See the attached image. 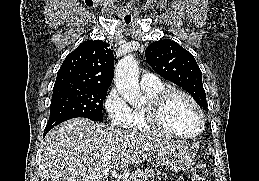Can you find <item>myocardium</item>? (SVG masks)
I'll return each instance as SVG.
<instances>
[{"label":"myocardium","mask_w":259,"mask_h":181,"mask_svg":"<svg viewBox=\"0 0 259 181\" xmlns=\"http://www.w3.org/2000/svg\"><path fill=\"white\" fill-rule=\"evenodd\" d=\"M174 96H181L185 98L195 108L200 119V127L196 133L188 135L180 134L168 128L164 123L163 115L165 108L169 100ZM146 113L148 116L149 123L156 131L178 139L197 138L203 133L205 129V116L200 105L189 93L175 87H166L159 93H157L152 99H150L146 106Z\"/></svg>","instance_id":"1"}]
</instances>
